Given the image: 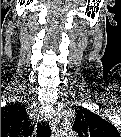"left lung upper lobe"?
I'll use <instances>...</instances> for the list:
<instances>
[{
  "label": "left lung upper lobe",
  "mask_w": 121,
  "mask_h": 137,
  "mask_svg": "<svg viewBox=\"0 0 121 137\" xmlns=\"http://www.w3.org/2000/svg\"><path fill=\"white\" fill-rule=\"evenodd\" d=\"M73 128L80 136L118 137L119 135L115 126L86 109L77 111Z\"/></svg>",
  "instance_id": "1"
}]
</instances>
